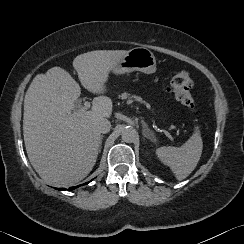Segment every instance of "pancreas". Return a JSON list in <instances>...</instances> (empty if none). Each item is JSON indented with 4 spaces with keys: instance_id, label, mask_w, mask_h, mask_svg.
I'll return each instance as SVG.
<instances>
[{
    "instance_id": "obj_1",
    "label": "pancreas",
    "mask_w": 244,
    "mask_h": 244,
    "mask_svg": "<svg viewBox=\"0 0 244 244\" xmlns=\"http://www.w3.org/2000/svg\"><path fill=\"white\" fill-rule=\"evenodd\" d=\"M121 99H131V98H134L136 101H142V99L138 96H133L131 97L130 94L128 93H123L119 96Z\"/></svg>"
}]
</instances>
